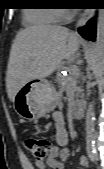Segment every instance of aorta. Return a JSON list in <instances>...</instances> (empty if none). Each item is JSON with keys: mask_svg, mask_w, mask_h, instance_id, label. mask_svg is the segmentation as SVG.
<instances>
[{"mask_svg": "<svg viewBox=\"0 0 104 169\" xmlns=\"http://www.w3.org/2000/svg\"><path fill=\"white\" fill-rule=\"evenodd\" d=\"M103 58H104V34L103 30L98 31L95 51H94V70L96 81L95 84H99L103 76ZM96 124L95 102L90 103L85 119V131L86 139L92 141L94 139V131Z\"/></svg>", "mask_w": 104, "mask_h": 169, "instance_id": "aorta-1", "label": "aorta"}]
</instances>
